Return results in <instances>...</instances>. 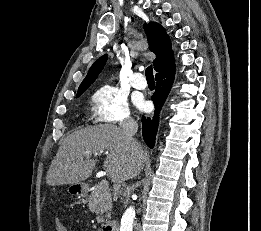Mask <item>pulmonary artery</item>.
Segmentation results:
<instances>
[{"instance_id": "e3ab8cb5", "label": "pulmonary artery", "mask_w": 261, "mask_h": 231, "mask_svg": "<svg viewBox=\"0 0 261 231\" xmlns=\"http://www.w3.org/2000/svg\"><path fill=\"white\" fill-rule=\"evenodd\" d=\"M131 85L138 90H143L147 86V82L144 79L141 72H135L131 79Z\"/></svg>"}]
</instances>
